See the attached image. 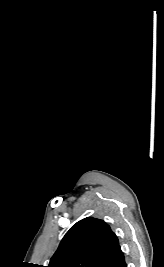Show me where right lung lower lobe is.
Listing matches in <instances>:
<instances>
[{"instance_id": "right-lung-lower-lobe-1", "label": "right lung lower lobe", "mask_w": 164, "mask_h": 267, "mask_svg": "<svg viewBox=\"0 0 164 267\" xmlns=\"http://www.w3.org/2000/svg\"><path fill=\"white\" fill-rule=\"evenodd\" d=\"M99 267H127L121 250L103 262Z\"/></svg>"}]
</instances>
